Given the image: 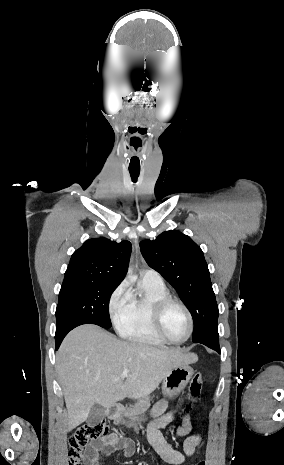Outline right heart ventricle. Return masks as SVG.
<instances>
[{
    "label": "right heart ventricle",
    "instance_id": "obj_1",
    "mask_svg": "<svg viewBox=\"0 0 284 465\" xmlns=\"http://www.w3.org/2000/svg\"><path fill=\"white\" fill-rule=\"evenodd\" d=\"M144 293L133 298L129 306L115 320V327L121 337L139 346H165L154 332L151 322L158 301L171 298L164 282L150 283L142 280Z\"/></svg>",
    "mask_w": 284,
    "mask_h": 465
}]
</instances>
